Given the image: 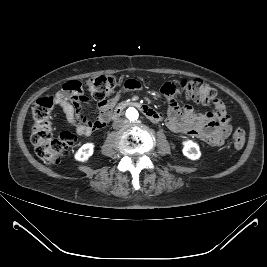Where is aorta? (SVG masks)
Listing matches in <instances>:
<instances>
[{"label": "aorta", "mask_w": 267, "mask_h": 267, "mask_svg": "<svg viewBox=\"0 0 267 267\" xmlns=\"http://www.w3.org/2000/svg\"><path fill=\"white\" fill-rule=\"evenodd\" d=\"M139 111L138 109H136L135 107H129L127 110H126V117L129 121H137L139 119Z\"/></svg>", "instance_id": "aorta-1"}]
</instances>
